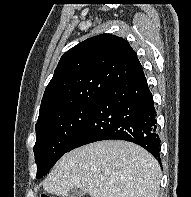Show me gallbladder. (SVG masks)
Masks as SVG:
<instances>
[{
  "label": "gallbladder",
  "instance_id": "bac80fb5",
  "mask_svg": "<svg viewBox=\"0 0 191 197\" xmlns=\"http://www.w3.org/2000/svg\"><path fill=\"white\" fill-rule=\"evenodd\" d=\"M85 193L78 189V188H73L71 190H69V192L67 193V195L65 197H84Z\"/></svg>",
  "mask_w": 191,
  "mask_h": 197
}]
</instances>
